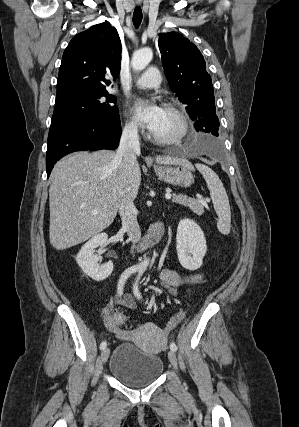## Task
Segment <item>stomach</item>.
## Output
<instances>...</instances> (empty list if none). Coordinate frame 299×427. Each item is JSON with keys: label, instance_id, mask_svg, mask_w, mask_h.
I'll return each mask as SVG.
<instances>
[{"label": "stomach", "instance_id": "stomach-1", "mask_svg": "<svg viewBox=\"0 0 299 427\" xmlns=\"http://www.w3.org/2000/svg\"><path fill=\"white\" fill-rule=\"evenodd\" d=\"M157 176L164 182L173 186L187 188L194 182L191 169L186 167H154Z\"/></svg>", "mask_w": 299, "mask_h": 427}]
</instances>
